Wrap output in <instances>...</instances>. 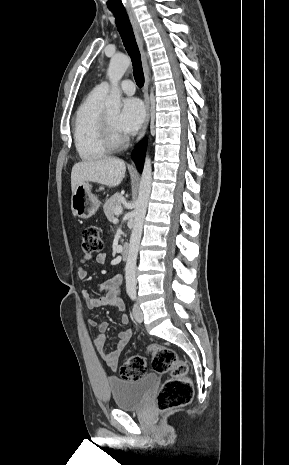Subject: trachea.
<instances>
[{
  "label": "trachea",
  "mask_w": 289,
  "mask_h": 465,
  "mask_svg": "<svg viewBox=\"0 0 289 465\" xmlns=\"http://www.w3.org/2000/svg\"><path fill=\"white\" fill-rule=\"evenodd\" d=\"M111 12L116 19V26L131 58L136 84L141 88L144 85L141 57L127 12L125 9L111 10Z\"/></svg>",
  "instance_id": "obj_1"
}]
</instances>
